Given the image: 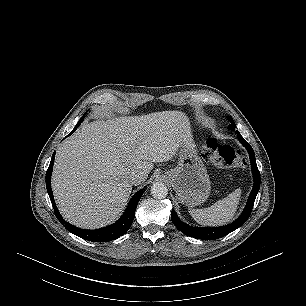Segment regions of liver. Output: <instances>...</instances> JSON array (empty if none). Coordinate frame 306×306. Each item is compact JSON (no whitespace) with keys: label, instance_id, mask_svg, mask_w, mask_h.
Returning <instances> with one entry per match:
<instances>
[{"label":"liver","instance_id":"obj_1","mask_svg":"<svg viewBox=\"0 0 306 306\" xmlns=\"http://www.w3.org/2000/svg\"><path fill=\"white\" fill-rule=\"evenodd\" d=\"M190 137L181 111L83 124L56 152L52 189L64 219L88 229L112 223L132 192L130 174L147 178L154 163L171 160Z\"/></svg>","mask_w":306,"mask_h":306}]
</instances>
